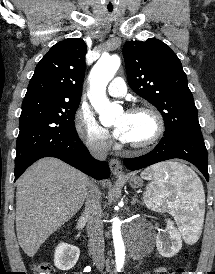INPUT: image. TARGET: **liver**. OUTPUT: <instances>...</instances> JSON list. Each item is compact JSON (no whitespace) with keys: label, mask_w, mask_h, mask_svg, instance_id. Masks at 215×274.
<instances>
[{"label":"liver","mask_w":215,"mask_h":274,"mask_svg":"<svg viewBox=\"0 0 215 274\" xmlns=\"http://www.w3.org/2000/svg\"><path fill=\"white\" fill-rule=\"evenodd\" d=\"M89 185L87 175L56 158L40 159L23 173L16 190V232L27 256L80 210Z\"/></svg>","instance_id":"obj_1"}]
</instances>
